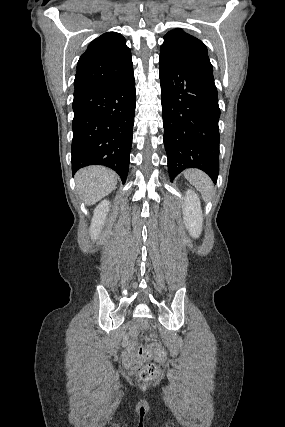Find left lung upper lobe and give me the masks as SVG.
<instances>
[{"label": "left lung upper lobe", "mask_w": 285, "mask_h": 427, "mask_svg": "<svg viewBox=\"0 0 285 427\" xmlns=\"http://www.w3.org/2000/svg\"><path fill=\"white\" fill-rule=\"evenodd\" d=\"M160 57L178 63L195 64L213 70L205 44L182 29L169 31L164 36Z\"/></svg>", "instance_id": "left-lung-upper-lobe-1"}]
</instances>
